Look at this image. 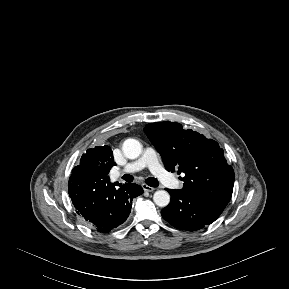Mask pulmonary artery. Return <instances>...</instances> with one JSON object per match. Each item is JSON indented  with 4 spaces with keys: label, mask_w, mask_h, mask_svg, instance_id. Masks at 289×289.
I'll use <instances>...</instances> for the list:
<instances>
[{
    "label": "pulmonary artery",
    "mask_w": 289,
    "mask_h": 289,
    "mask_svg": "<svg viewBox=\"0 0 289 289\" xmlns=\"http://www.w3.org/2000/svg\"><path fill=\"white\" fill-rule=\"evenodd\" d=\"M144 168H148L158 179L169 185L170 176L165 171L154 149L148 147L144 150L142 156L134 162L128 163L119 171L124 173L138 172Z\"/></svg>",
    "instance_id": "e3ab8cb5"
}]
</instances>
